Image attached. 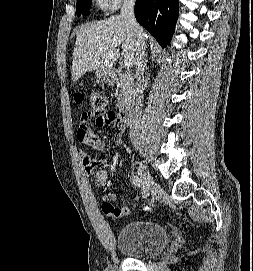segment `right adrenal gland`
<instances>
[{
    "label": "right adrenal gland",
    "instance_id": "1",
    "mask_svg": "<svg viewBox=\"0 0 253 271\" xmlns=\"http://www.w3.org/2000/svg\"><path fill=\"white\" fill-rule=\"evenodd\" d=\"M147 61H148V60L145 61V67H147Z\"/></svg>",
    "mask_w": 253,
    "mask_h": 271
}]
</instances>
